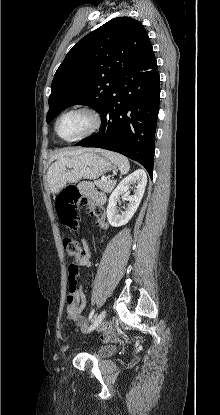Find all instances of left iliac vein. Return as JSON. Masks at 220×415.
<instances>
[{
	"label": "left iliac vein",
	"mask_w": 220,
	"mask_h": 415,
	"mask_svg": "<svg viewBox=\"0 0 220 415\" xmlns=\"http://www.w3.org/2000/svg\"><path fill=\"white\" fill-rule=\"evenodd\" d=\"M103 311H104V310H103ZM104 317H105V316H104ZM104 317L102 318V320H101V321H99V316H97V317L93 320V322H92V324L90 325V327L88 328L87 333H91L93 330H95L96 328H98V327H99V325L102 323V321H103Z\"/></svg>",
	"instance_id": "obj_1"
}]
</instances>
